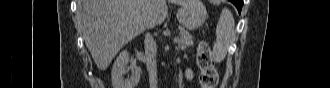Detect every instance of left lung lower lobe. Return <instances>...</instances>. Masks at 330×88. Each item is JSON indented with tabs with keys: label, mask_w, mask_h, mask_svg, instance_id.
Listing matches in <instances>:
<instances>
[{
	"label": "left lung lower lobe",
	"mask_w": 330,
	"mask_h": 88,
	"mask_svg": "<svg viewBox=\"0 0 330 88\" xmlns=\"http://www.w3.org/2000/svg\"><path fill=\"white\" fill-rule=\"evenodd\" d=\"M231 1L238 9V12L241 13V9L243 6V0H229Z\"/></svg>",
	"instance_id": "left-lung-lower-lobe-1"
}]
</instances>
